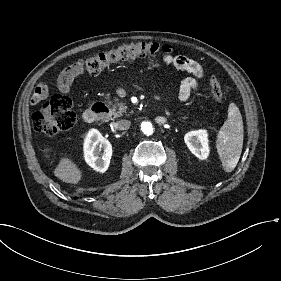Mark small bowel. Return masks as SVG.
<instances>
[{"label": "small bowel", "instance_id": "small-bowel-1", "mask_svg": "<svg viewBox=\"0 0 281 281\" xmlns=\"http://www.w3.org/2000/svg\"><path fill=\"white\" fill-rule=\"evenodd\" d=\"M164 60L167 64L175 67L176 69L186 71L192 76L186 78L180 85L179 99L182 102L187 101L196 91L198 86V80L203 77V68L201 65L185 56L180 55H166ZM81 74L78 64L72 65L64 69L58 78V89L66 94L70 91L71 85L76 77ZM48 93L45 87H38L35 95L31 96V104L36 105L40 102L48 100Z\"/></svg>", "mask_w": 281, "mask_h": 281}]
</instances>
